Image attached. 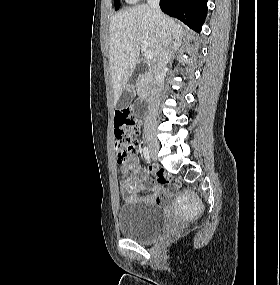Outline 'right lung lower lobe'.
<instances>
[{
  "label": "right lung lower lobe",
  "instance_id": "obj_1",
  "mask_svg": "<svg viewBox=\"0 0 280 285\" xmlns=\"http://www.w3.org/2000/svg\"><path fill=\"white\" fill-rule=\"evenodd\" d=\"M208 0H160V8L200 32L207 15Z\"/></svg>",
  "mask_w": 280,
  "mask_h": 285
}]
</instances>
